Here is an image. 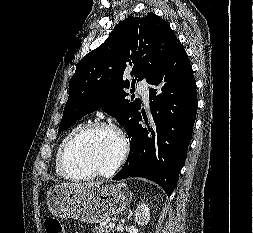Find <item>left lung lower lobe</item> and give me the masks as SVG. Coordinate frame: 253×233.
I'll return each instance as SVG.
<instances>
[{
  "label": "left lung lower lobe",
  "instance_id": "0a47b994",
  "mask_svg": "<svg viewBox=\"0 0 253 233\" xmlns=\"http://www.w3.org/2000/svg\"><path fill=\"white\" fill-rule=\"evenodd\" d=\"M151 84L159 88L149 89L150 123L139 109L128 132L129 156L113 180L144 177L159 184L170 196L187 156L197 109L192 66L180 43ZM142 115L145 127L139 124Z\"/></svg>",
  "mask_w": 253,
  "mask_h": 233
}]
</instances>
